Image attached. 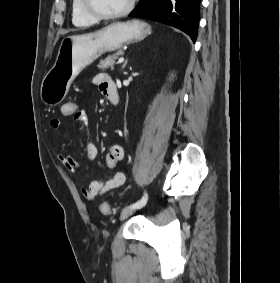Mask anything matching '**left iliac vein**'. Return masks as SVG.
Segmentation results:
<instances>
[{"instance_id": "obj_1", "label": "left iliac vein", "mask_w": 280, "mask_h": 283, "mask_svg": "<svg viewBox=\"0 0 280 283\" xmlns=\"http://www.w3.org/2000/svg\"><path fill=\"white\" fill-rule=\"evenodd\" d=\"M136 208L132 207V206H127L125 207L120 214V220H125L128 217H130L134 212H135Z\"/></svg>"}]
</instances>
